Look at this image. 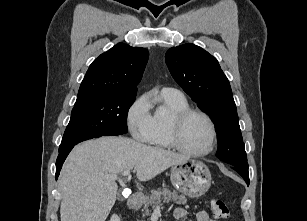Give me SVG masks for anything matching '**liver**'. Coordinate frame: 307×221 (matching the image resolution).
I'll list each match as a JSON object with an SVG mask.
<instances>
[{
  "instance_id": "liver-1",
  "label": "liver",
  "mask_w": 307,
  "mask_h": 221,
  "mask_svg": "<svg viewBox=\"0 0 307 221\" xmlns=\"http://www.w3.org/2000/svg\"><path fill=\"white\" fill-rule=\"evenodd\" d=\"M187 156L126 137H101L73 148L59 178L61 221H105L115 204L118 185L107 175L134 169L149 181Z\"/></svg>"
}]
</instances>
